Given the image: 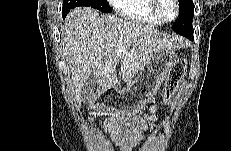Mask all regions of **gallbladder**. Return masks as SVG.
Instances as JSON below:
<instances>
[{
  "instance_id": "obj_1",
  "label": "gallbladder",
  "mask_w": 231,
  "mask_h": 151,
  "mask_svg": "<svg viewBox=\"0 0 231 151\" xmlns=\"http://www.w3.org/2000/svg\"><path fill=\"white\" fill-rule=\"evenodd\" d=\"M100 93L101 88L97 84L96 77L95 75H91L80 91L83 102L87 104L94 102L99 97Z\"/></svg>"
}]
</instances>
